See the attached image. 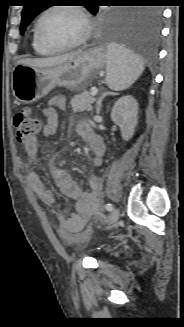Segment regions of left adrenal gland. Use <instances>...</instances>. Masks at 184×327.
<instances>
[{
  "label": "left adrenal gland",
  "instance_id": "a2214340",
  "mask_svg": "<svg viewBox=\"0 0 184 327\" xmlns=\"http://www.w3.org/2000/svg\"><path fill=\"white\" fill-rule=\"evenodd\" d=\"M107 95H114V93H111V92H105L101 95V97L98 99L97 101V111L96 113L99 114L100 113V110H101V107H102V101L103 99L107 96Z\"/></svg>",
  "mask_w": 184,
  "mask_h": 327
}]
</instances>
